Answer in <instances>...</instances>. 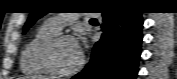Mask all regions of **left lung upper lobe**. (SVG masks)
<instances>
[{"mask_svg":"<svg viewBox=\"0 0 177 79\" xmlns=\"http://www.w3.org/2000/svg\"><path fill=\"white\" fill-rule=\"evenodd\" d=\"M45 9L41 8V9H36L34 11H32L30 13L29 19L27 20L25 26H24V30L23 33H25L34 23L37 19H39L40 17H42L43 15H45Z\"/></svg>","mask_w":177,"mask_h":79,"instance_id":"1","label":"left lung upper lobe"}]
</instances>
